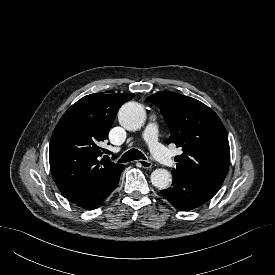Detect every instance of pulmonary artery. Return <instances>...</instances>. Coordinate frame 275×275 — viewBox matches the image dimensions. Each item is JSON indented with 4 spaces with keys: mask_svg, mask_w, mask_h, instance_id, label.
I'll return each instance as SVG.
<instances>
[{
    "mask_svg": "<svg viewBox=\"0 0 275 275\" xmlns=\"http://www.w3.org/2000/svg\"><path fill=\"white\" fill-rule=\"evenodd\" d=\"M144 141L149 146L153 156L161 163L171 166L174 160L167 148L160 142L158 126L156 123L149 122L143 133Z\"/></svg>",
    "mask_w": 275,
    "mask_h": 275,
    "instance_id": "obj_1",
    "label": "pulmonary artery"
}]
</instances>
